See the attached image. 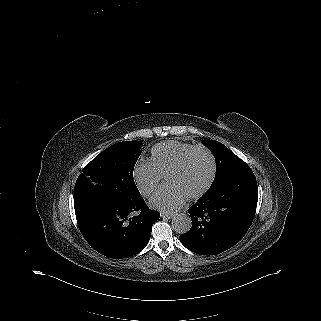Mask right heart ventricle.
<instances>
[{"mask_svg":"<svg viewBox=\"0 0 321 321\" xmlns=\"http://www.w3.org/2000/svg\"><path fill=\"white\" fill-rule=\"evenodd\" d=\"M198 146L182 141L157 144L151 151V163L160 176H168Z\"/></svg>","mask_w":321,"mask_h":321,"instance_id":"1","label":"right heart ventricle"}]
</instances>
